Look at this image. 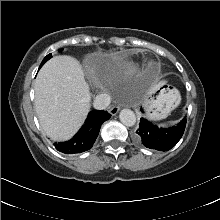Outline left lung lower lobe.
<instances>
[{
    "mask_svg": "<svg viewBox=\"0 0 220 220\" xmlns=\"http://www.w3.org/2000/svg\"><path fill=\"white\" fill-rule=\"evenodd\" d=\"M185 126V118L176 126L168 129L158 128L144 118H141L135 137L138 142L147 148L168 151L181 139Z\"/></svg>",
    "mask_w": 220,
    "mask_h": 220,
    "instance_id": "1",
    "label": "left lung lower lobe"
}]
</instances>
